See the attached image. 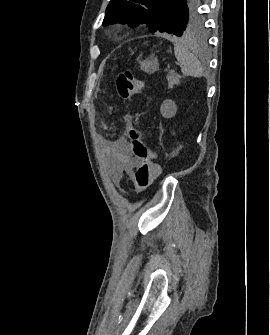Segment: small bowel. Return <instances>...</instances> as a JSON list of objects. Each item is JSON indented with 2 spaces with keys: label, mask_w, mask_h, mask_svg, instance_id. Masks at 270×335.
<instances>
[{
  "label": "small bowel",
  "mask_w": 270,
  "mask_h": 335,
  "mask_svg": "<svg viewBox=\"0 0 270 335\" xmlns=\"http://www.w3.org/2000/svg\"><path fill=\"white\" fill-rule=\"evenodd\" d=\"M101 143L110 163L113 180L119 183L124 175L130 176L134 167V159L130 154L127 141L124 138H117L112 141L101 138Z\"/></svg>",
  "instance_id": "obj_1"
}]
</instances>
